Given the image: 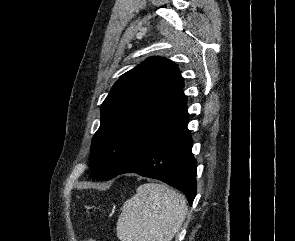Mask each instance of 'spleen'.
Returning <instances> with one entry per match:
<instances>
[{
    "label": "spleen",
    "mask_w": 295,
    "mask_h": 241,
    "mask_svg": "<svg viewBox=\"0 0 295 241\" xmlns=\"http://www.w3.org/2000/svg\"><path fill=\"white\" fill-rule=\"evenodd\" d=\"M186 214L182 195L164 184H142L123 204L117 237L120 241H171Z\"/></svg>",
    "instance_id": "3e777b00"
}]
</instances>
